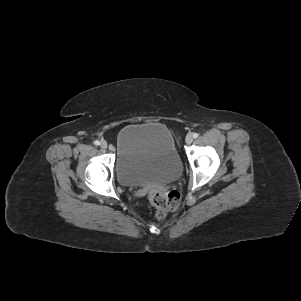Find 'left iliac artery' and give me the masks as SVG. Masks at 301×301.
I'll return each mask as SVG.
<instances>
[{
	"label": "left iliac artery",
	"mask_w": 301,
	"mask_h": 301,
	"mask_svg": "<svg viewBox=\"0 0 301 301\" xmlns=\"http://www.w3.org/2000/svg\"><path fill=\"white\" fill-rule=\"evenodd\" d=\"M198 135H199L198 133H193V137H194V138H197Z\"/></svg>",
	"instance_id": "44dca946"
}]
</instances>
